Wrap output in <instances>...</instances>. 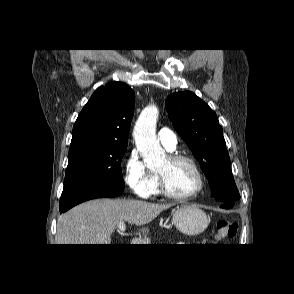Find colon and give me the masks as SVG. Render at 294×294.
<instances>
[{
    "label": "colon",
    "mask_w": 294,
    "mask_h": 294,
    "mask_svg": "<svg viewBox=\"0 0 294 294\" xmlns=\"http://www.w3.org/2000/svg\"><path fill=\"white\" fill-rule=\"evenodd\" d=\"M216 237L218 240H224L231 238L236 234L237 223L231 220L219 221L216 225Z\"/></svg>",
    "instance_id": "obj_1"
}]
</instances>
